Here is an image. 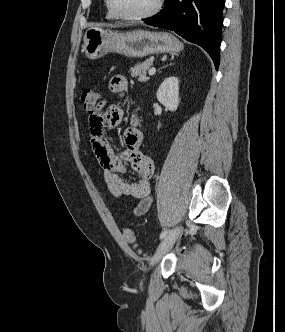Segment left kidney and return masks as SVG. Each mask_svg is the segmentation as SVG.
<instances>
[{"label":"left kidney","instance_id":"obj_1","mask_svg":"<svg viewBox=\"0 0 285 332\" xmlns=\"http://www.w3.org/2000/svg\"><path fill=\"white\" fill-rule=\"evenodd\" d=\"M158 101L170 111H176L179 105V80L175 76L166 78L157 91Z\"/></svg>","mask_w":285,"mask_h":332}]
</instances>
